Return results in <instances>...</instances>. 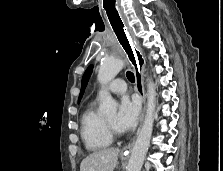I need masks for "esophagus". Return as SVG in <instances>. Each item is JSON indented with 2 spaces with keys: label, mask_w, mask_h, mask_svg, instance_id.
Listing matches in <instances>:
<instances>
[{
  "label": "esophagus",
  "mask_w": 223,
  "mask_h": 171,
  "mask_svg": "<svg viewBox=\"0 0 223 171\" xmlns=\"http://www.w3.org/2000/svg\"><path fill=\"white\" fill-rule=\"evenodd\" d=\"M109 16V21L111 22L110 28L112 31L115 32L117 39L120 41L121 45L123 46L124 50L128 54V60L131 62V66L134 70L135 77H136V90L141 96L142 99V110L140 116V127L143 121L144 116V105H145V88L143 82V72L145 68V59L142 54V51L130 34V31L127 30L126 21L122 17V13H114L113 11H107ZM140 127L137 131V134L140 131ZM135 139H133L128 145H126L123 149V153H129L134 145Z\"/></svg>",
  "instance_id": "obj_1"
}]
</instances>
